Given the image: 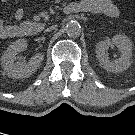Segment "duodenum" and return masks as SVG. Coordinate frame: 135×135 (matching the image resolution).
Returning <instances> with one entry per match:
<instances>
[{
	"label": "duodenum",
	"instance_id": "410a0bca",
	"mask_svg": "<svg viewBox=\"0 0 135 135\" xmlns=\"http://www.w3.org/2000/svg\"><path fill=\"white\" fill-rule=\"evenodd\" d=\"M20 32L25 33V34H29V31L24 29V28H20Z\"/></svg>",
	"mask_w": 135,
	"mask_h": 135
}]
</instances>
